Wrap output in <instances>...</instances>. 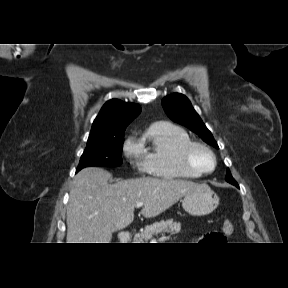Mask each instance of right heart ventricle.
<instances>
[{
	"mask_svg": "<svg viewBox=\"0 0 288 288\" xmlns=\"http://www.w3.org/2000/svg\"><path fill=\"white\" fill-rule=\"evenodd\" d=\"M191 141L188 133L170 122L151 124L138 140L142 168L165 179H197L201 175L187 169L181 161L183 147Z\"/></svg>",
	"mask_w": 288,
	"mask_h": 288,
	"instance_id": "e07e8e85",
	"label": "right heart ventricle"
}]
</instances>
